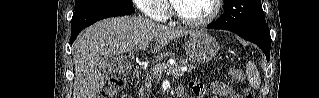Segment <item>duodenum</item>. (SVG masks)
Listing matches in <instances>:
<instances>
[{"label": "duodenum", "instance_id": "obj_1", "mask_svg": "<svg viewBox=\"0 0 319 98\" xmlns=\"http://www.w3.org/2000/svg\"><path fill=\"white\" fill-rule=\"evenodd\" d=\"M143 73V67L142 66H136L133 70L132 76L134 79H139L142 76ZM184 90L182 87H178L176 91V97L181 98L183 97Z\"/></svg>", "mask_w": 319, "mask_h": 98}]
</instances>
